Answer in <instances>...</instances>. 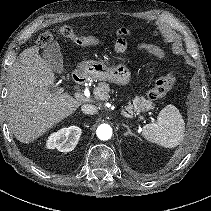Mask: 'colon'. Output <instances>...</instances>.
Wrapping results in <instances>:
<instances>
[{
	"mask_svg": "<svg viewBox=\"0 0 211 211\" xmlns=\"http://www.w3.org/2000/svg\"><path fill=\"white\" fill-rule=\"evenodd\" d=\"M58 33L63 35L64 37L70 38L76 43H83V38L80 37L71 27L69 26H62L58 29ZM53 40V35L50 32L43 33L39 36L37 40V45L41 48L46 47L49 45ZM118 49L124 50L125 45L120 42L118 43ZM140 51H149L158 57H162L164 53L158 47L151 45V44H142L138 48ZM175 75L173 73H169L161 78H159L154 86L149 90L147 96L150 100H159L163 98L173 87L175 83Z\"/></svg>",
	"mask_w": 211,
	"mask_h": 211,
	"instance_id": "colon-1",
	"label": "colon"
}]
</instances>
